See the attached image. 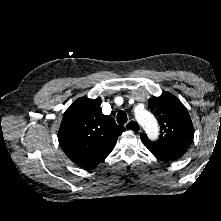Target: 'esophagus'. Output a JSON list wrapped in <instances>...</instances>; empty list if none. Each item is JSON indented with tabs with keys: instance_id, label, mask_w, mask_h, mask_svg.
Returning <instances> with one entry per match:
<instances>
[{
	"instance_id": "obj_1",
	"label": "esophagus",
	"mask_w": 221,
	"mask_h": 221,
	"mask_svg": "<svg viewBox=\"0 0 221 221\" xmlns=\"http://www.w3.org/2000/svg\"><path fill=\"white\" fill-rule=\"evenodd\" d=\"M125 128L133 133H139L141 131L139 124L135 120H131L126 123Z\"/></svg>"
}]
</instances>
